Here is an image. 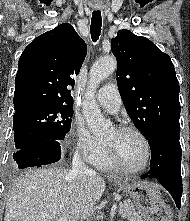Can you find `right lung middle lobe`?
<instances>
[{
    "label": "right lung middle lobe",
    "instance_id": "right-lung-middle-lobe-1",
    "mask_svg": "<svg viewBox=\"0 0 190 221\" xmlns=\"http://www.w3.org/2000/svg\"><path fill=\"white\" fill-rule=\"evenodd\" d=\"M72 107L37 105L14 114L15 147L18 150L43 140H63L71 127Z\"/></svg>",
    "mask_w": 190,
    "mask_h": 221
}]
</instances>
